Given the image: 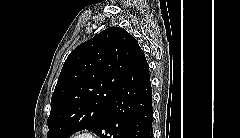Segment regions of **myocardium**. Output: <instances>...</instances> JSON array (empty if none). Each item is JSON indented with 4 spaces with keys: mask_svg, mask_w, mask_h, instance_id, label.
<instances>
[{
    "mask_svg": "<svg viewBox=\"0 0 240 138\" xmlns=\"http://www.w3.org/2000/svg\"><path fill=\"white\" fill-rule=\"evenodd\" d=\"M78 138H97L96 134L91 131H83Z\"/></svg>",
    "mask_w": 240,
    "mask_h": 138,
    "instance_id": "1",
    "label": "myocardium"
}]
</instances>
